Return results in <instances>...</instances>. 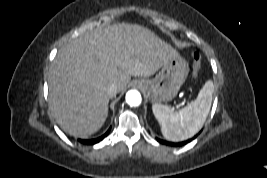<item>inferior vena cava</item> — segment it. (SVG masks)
<instances>
[{
  "instance_id": "obj_1",
  "label": "inferior vena cava",
  "mask_w": 267,
  "mask_h": 178,
  "mask_svg": "<svg viewBox=\"0 0 267 178\" xmlns=\"http://www.w3.org/2000/svg\"><path fill=\"white\" fill-rule=\"evenodd\" d=\"M118 90H117V86L115 84H109L106 87V93L109 97H113L117 94Z\"/></svg>"
}]
</instances>
